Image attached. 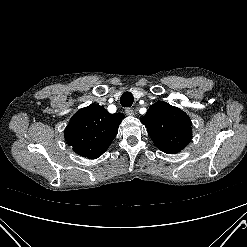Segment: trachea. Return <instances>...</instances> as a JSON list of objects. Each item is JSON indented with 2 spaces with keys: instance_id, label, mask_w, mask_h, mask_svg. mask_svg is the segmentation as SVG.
<instances>
[{
  "instance_id": "3493384b",
  "label": "trachea",
  "mask_w": 247,
  "mask_h": 247,
  "mask_svg": "<svg viewBox=\"0 0 247 247\" xmlns=\"http://www.w3.org/2000/svg\"><path fill=\"white\" fill-rule=\"evenodd\" d=\"M134 101V97L132 95V93L130 92H125L123 93V95L120 98V104L123 107H131Z\"/></svg>"
}]
</instances>
